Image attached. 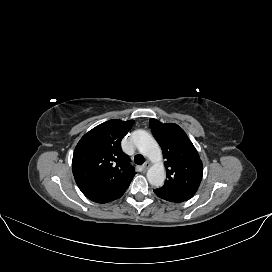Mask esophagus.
Masks as SVG:
<instances>
[{
    "label": "esophagus",
    "instance_id": "obj_1",
    "mask_svg": "<svg viewBox=\"0 0 272 272\" xmlns=\"http://www.w3.org/2000/svg\"><path fill=\"white\" fill-rule=\"evenodd\" d=\"M150 167V163L149 162H145L142 166L143 170L146 171L148 168Z\"/></svg>",
    "mask_w": 272,
    "mask_h": 272
}]
</instances>
